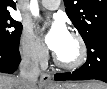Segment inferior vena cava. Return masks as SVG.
<instances>
[{
  "mask_svg": "<svg viewBox=\"0 0 107 89\" xmlns=\"http://www.w3.org/2000/svg\"><path fill=\"white\" fill-rule=\"evenodd\" d=\"M19 70L20 89H32L37 84L40 74L38 59L36 57H24L19 65Z\"/></svg>",
  "mask_w": 107,
  "mask_h": 89,
  "instance_id": "obj_1",
  "label": "inferior vena cava"
}]
</instances>
